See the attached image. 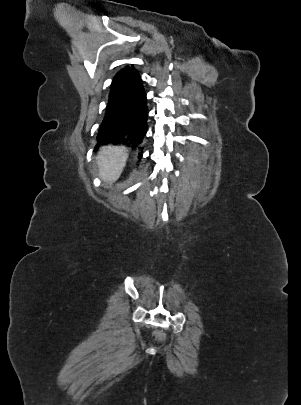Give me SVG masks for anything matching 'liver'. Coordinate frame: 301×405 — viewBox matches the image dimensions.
Here are the masks:
<instances>
[{
    "label": "liver",
    "mask_w": 301,
    "mask_h": 405,
    "mask_svg": "<svg viewBox=\"0 0 301 405\" xmlns=\"http://www.w3.org/2000/svg\"><path fill=\"white\" fill-rule=\"evenodd\" d=\"M128 158V151L122 146H104L97 156L99 175L104 182L113 183L120 177Z\"/></svg>",
    "instance_id": "1"
}]
</instances>
